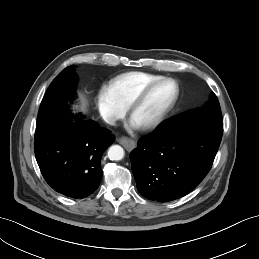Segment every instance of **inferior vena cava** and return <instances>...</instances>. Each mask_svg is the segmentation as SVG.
Here are the masks:
<instances>
[{
  "instance_id": "1",
  "label": "inferior vena cava",
  "mask_w": 259,
  "mask_h": 259,
  "mask_svg": "<svg viewBox=\"0 0 259 259\" xmlns=\"http://www.w3.org/2000/svg\"><path fill=\"white\" fill-rule=\"evenodd\" d=\"M106 123L110 124V125H115V121L116 119L114 117H108L106 118Z\"/></svg>"
}]
</instances>
